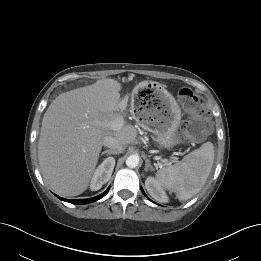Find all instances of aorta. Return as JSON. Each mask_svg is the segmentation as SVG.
Listing matches in <instances>:
<instances>
[{
	"instance_id": "obj_1",
	"label": "aorta",
	"mask_w": 261,
	"mask_h": 261,
	"mask_svg": "<svg viewBox=\"0 0 261 261\" xmlns=\"http://www.w3.org/2000/svg\"><path fill=\"white\" fill-rule=\"evenodd\" d=\"M139 164V157L137 155H131L126 159V165L129 168H135Z\"/></svg>"
}]
</instances>
